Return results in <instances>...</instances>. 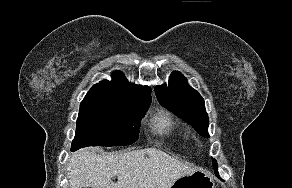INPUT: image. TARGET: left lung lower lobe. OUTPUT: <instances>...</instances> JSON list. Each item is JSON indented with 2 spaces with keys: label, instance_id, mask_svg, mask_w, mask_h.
I'll use <instances>...</instances> for the list:
<instances>
[{
  "label": "left lung lower lobe",
  "instance_id": "left-lung-lower-lobe-1",
  "mask_svg": "<svg viewBox=\"0 0 292 188\" xmlns=\"http://www.w3.org/2000/svg\"><path fill=\"white\" fill-rule=\"evenodd\" d=\"M215 174L218 176V172H217V170H215Z\"/></svg>",
  "mask_w": 292,
  "mask_h": 188
}]
</instances>
